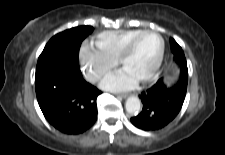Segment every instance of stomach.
I'll list each match as a JSON object with an SVG mask.
<instances>
[{"mask_svg":"<svg viewBox=\"0 0 225 155\" xmlns=\"http://www.w3.org/2000/svg\"><path fill=\"white\" fill-rule=\"evenodd\" d=\"M173 82H174V77L171 76V75H167L166 76V83H167V85L170 86V85L173 84Z\"/></svg>","mask_w":225,"mask_h":155,"instance_id":"obj_1","label":"stomach"}]
</instances>
